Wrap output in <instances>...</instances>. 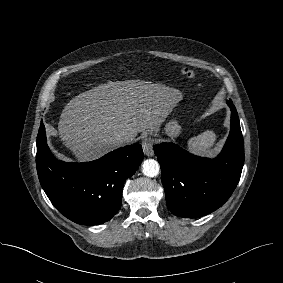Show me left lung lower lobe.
<instances>
[{"label": "left lung lower lobe", "instance_id": "left-lung-lower-lobe-1", "mask_svg": "<svg viewBox=\"0 0 283 283\" xmlns=\"http://www.w3.org/2000/svg\"><path fill=\"white\" fill-rule=\"evenodd\" d=\"M221 154L215 159L195 156L173 143L154 146L162 170L166 204L176 216L197 218L221 207L239 182L244 163V142L236 108Z\"/></svg>", "mask_w": 283, "mask_h": 283}]
</instances>
